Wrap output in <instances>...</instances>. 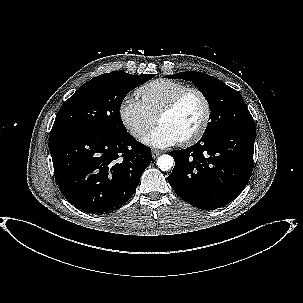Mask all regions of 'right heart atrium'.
<instances>
[{"mask_svg": "<svg viewBox=\"0 0 303 303\" xmlns=\"http://www.w3.org/2000/svg\"><path fill=\"white\" fill-rule=\"evenodd\" d=\"M119 116L123 125L136 139L143 137L156 121L141 100L133 96H126L121 101Z\"/></svg>", "mask_w": 303, "mask_h": 303, "instance_id": "right-heart-atrium-1", "label": "right heart atrium"}]
</instances>
